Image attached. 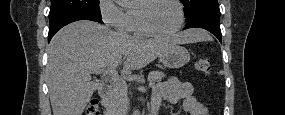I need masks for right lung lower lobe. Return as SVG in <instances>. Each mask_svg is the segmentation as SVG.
I'll return each instance as SVG.
<instances>
[{"mask_svg": "<svg viewBox=\"0 0 285 115\" xmlns=\"http://www.w3.org/2000/svg\"><path fill=\"white\" fill-rule=\"evenodd\" d=\"M78 20H91L99 23H103L101 18L87 15V14H68L61 17H58L49 22V34H48V42L55 35V33L60 30L65 25L72 23Z\"/></svg>", "mask_w": 285, "mask_h": 115, "instance_id": "98d812e1", "label": "right lung lower lobe"}]
</instances>
